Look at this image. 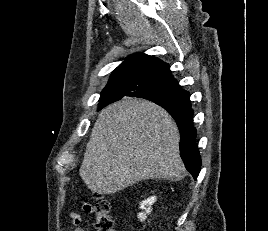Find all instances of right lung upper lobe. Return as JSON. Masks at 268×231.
<instances>
[{
  "mask_svg": "<svg viewBox=\"0 0 268 231\" xmlns=\"http://www.w3.org/2000/svg\"><path fill=\"white\" fill-rule=\"evenodd\" d=\"M146 82L162 83L179 89L178 82L172 76L169 65L158 58L143 53L133 54L120 64L112 72L110 80L105 88L129 89ZM182 91L187 92L185 90ZM125 95L129 96L130 92L127 91L123 94L109 98L108 100L103 101V105H108L114 101L120 100ZM151 101L162 107L179 106L173 105L167 101Z\"/></svg>",
  "mask_w": 268,
  "mask_h": 231,
  "instance_id": "obj_1",
  "label": "right lung upper lobe"
}]
</instances>
